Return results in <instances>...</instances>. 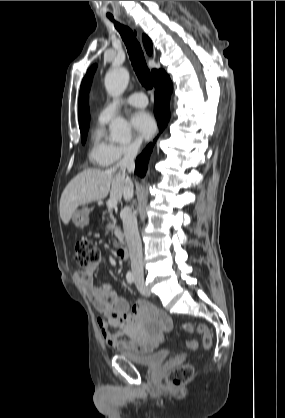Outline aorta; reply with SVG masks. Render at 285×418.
<instances>
[{"label": "aorta", "mask_w": 285, "mask_h": 418, "mask_svg": "<svg viewBox=\"0 0 285 418\" xmlns=\"http://www.w3.org/2000/svg\"><path fill=\"white\" fill-rule=\"evenodd\" d=\"M129 83V72L124 67L110 69L105 76V88L113 97L120 96ZM110 139L113 142L124 143L131 137V128L123 117H116L109 125Z\"/></svg>", "instance_id": "1"}]
</instances>
